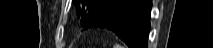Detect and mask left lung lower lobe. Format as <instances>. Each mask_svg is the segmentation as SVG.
I'll return each mask as SVG.
<instances>
[{
  "label": "left lung lower lobe",
  "instance_id": "obj_1",
  "mask_svg": "<svg viewBox=\"0 0 213 48\" xmlns=\"http://www.w3.org/2000/svg\"><path fill=\"white\" fill-rule=\"evenodd\" d=\"M151 0H111L83 26L115 32L129 48H147Z\"/></svg>",
  "mask_w": 213,
  "mask_h": 48
}]
</instances>
